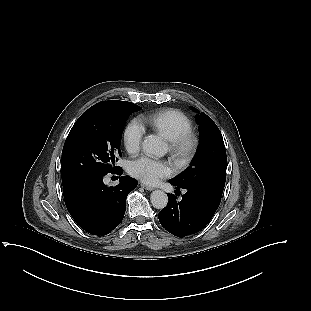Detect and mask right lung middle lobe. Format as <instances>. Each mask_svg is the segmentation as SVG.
<instances>
[{"instance_id": "obj_1", "label": "right lung middle lobe", "mask_w": 311, "mask_h": 311, "mask_svg": "<svg viewBox=\"0 0 311 311\" xmlns=\"http://www.w3.org/2000/svg\"><path fill=\"white\" fill-rule=\"evenodd\" d=\"M142 108L134 103L102 101L85 111L73 125L62 151V184L113 173L121 156L122 130L132 112Z\"/></svg>"}]
</instances>
